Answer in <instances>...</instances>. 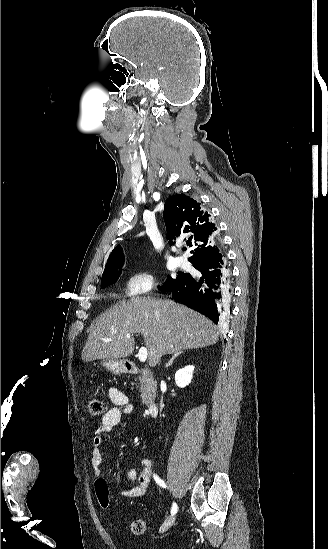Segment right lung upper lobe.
Masks as SVG:
<instances>
[{"label": "right lung upper lobe", "mask_w": 328, "mask_h": 549, "mask_svg": "<svg viewBox=\"0 0 328 549\" xmlns=\"http://www.w3.org/2000/svg\"><path fill=\"white\" fill-rule=\"evenodd\" d=\"M163 217L171 244L175 237L181 236L187 239V245L194 247L193 255L189 257L193 265L223 256L218 229L211 215L204 212L197 201L185 194L174 195L165 202ZM122 260L123 250L117 246L110 254L104 272Z\"/></svg>", "instance_id": "1"}]
</instances>
